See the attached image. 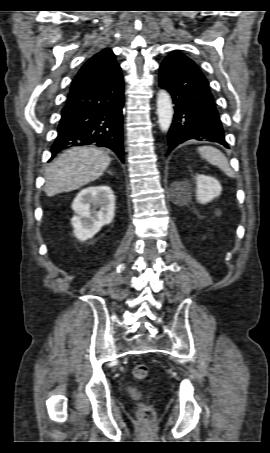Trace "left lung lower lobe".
I'll return each instance as SVG.
<instances>
[{
    "label": "left lung lower lobe",
    "instance_id": "left-lung-lower-lobe-1",
    "mask_svg": "<svg viewBox=\"0 0 270 453\" xmlns=\"http://www.w3.org/2000/svg\"><path fill=\"white\" fill-rule=\"evenodd\" d=\"M159 83L175 104L166 154L192 139L229 148L209 83L194 61L180 52L171 53L160 66Z\"/></svg>",
    "mask_w": 270,
    "mask_h": 453
}]
</instances>
